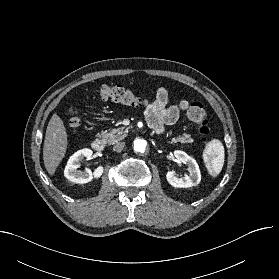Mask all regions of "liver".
Masks as SVG:
<instances>
[{
  "label": "liver",
  "instance_id": "1",
  "mask_svg": "<svg viewBox=\"0 0 279 279\" xmlns=\"http://www.w3.org/2000/svg\"><path fill=\"white\" fill-rule=\"evenodd\" d=\"M67 132L63 121L55 113L51 117L45 134L43 160L47 172L54 175L67 149Z\"/></svg>",
  "mask_w": 279,
  "mask_h": 279
}]
</instances>
